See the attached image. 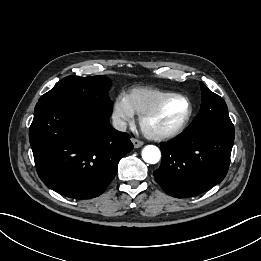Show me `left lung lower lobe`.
Returning <instances> with one entry per match:
<instances>
[{"label": "left lung lower lobe", "instance_id": "obj_1", "mask_svg": "<svg viewBox=\"0 0 261 261\" xmlns=\"http://www.w3.org/2000/svg\"><path fill=\"white\" fill-rule=\"evenodd\" d=\"M232 123L186 129L161 143L162 161L154 171L157 183L170 196L192 197L220 183L227 174L234 142Z\"/></svg>", "mask_w": 261, "mask_h": 261}]
</instances>
